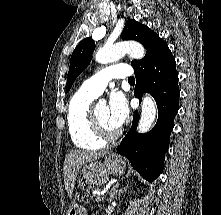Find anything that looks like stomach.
Returning <instances> with one entry per match:
<instances>
[{"label": "stomach", "mask_w": 221, "mask_h": 215, "mask_svg": "<svg viewBox=\"0 0 221 215\" xmlns=\"http://www.w3.org/2000/svg\"><path fill=\"white\" fill-rule=\"evenodd\" d=\"M125 168L126 163L121 157L109 154L105 157L104 162L91 161L83 165L79 185L84 186L85 183L103 185L109 180L111 174L121 175L125 172ZM67 215H86V211L83 206L73 203L69 207Z\"/></svg>", "instance_id": "stomach-1"}]
</instances>
